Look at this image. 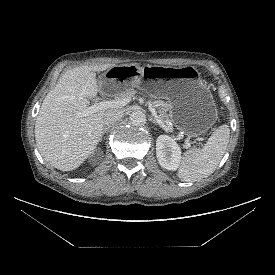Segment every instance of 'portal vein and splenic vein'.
I'll return each mask as SVG.
<instances>
[{
    "mask_svg": "<svg viewBox=\"0 0 275 275\" xmlns=\"http://www.w3.org/2000/svg\"><path fill=\"white\" fill-rule=\"evenodd\" d=\"M132 100V97H125L123 99H118V100H110V101H102L99 103H94L87 109L79 112V115L82 117L89 116L92 113L98 112L100 110H106L110 108H121L125 105H127L130 101ZM149 110L151 111L152 115L156 118L157 122L159 125L167 132H173V129L171 127H168L165 125V123L159 119V116L157 115V112L155 108L153 107L152 103L149 102ZM184 147L190 148L191 144L189 143L188 140L184 141Z\"/></svg>",
    "mask_w": 275,
    "mask_h": 275,
    "instance_id": "obj_1",
    "label": "portal vein and splenic vein"
}]
</instances>
